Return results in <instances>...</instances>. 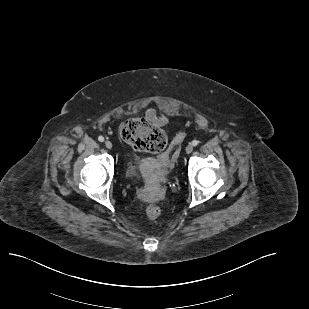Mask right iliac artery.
Masks as SVG:
<instances>
[{
	"mask_svg": "<svg viewBox=\"0 0 309 309\" xmlns=\"http://www.w3.org/2000/svg\"><path fill=\"white\" fill-rule=\"evenodd\" d=\"M98 140H99L100 142H103V141H104V137H103V136H99V137H98Z\"/></svg>",
	"mask_w": 309,
	"mask_h": 309,
	"instance_id": "right-iliac-artery-1",
	"label": "right iliac artery"
}]
</instances>
